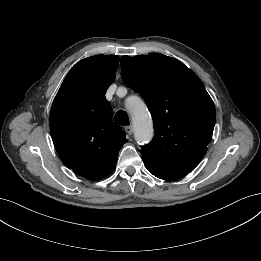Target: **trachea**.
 Listing matches in <instances>:
<instances>
[{"label": "trachea", "instance_id": "3493384b", "mask_svg": "<svg viewBox=\"0 0 261 261\" xmlns=\"http://www.w3.org/2000/svg\"><path fill=\"white\" fill-rule=\"evenodd\" d=\"M114 121L120 125L126 126L129 125V118L127 113L124 110H119L115 117H114Z\"/></svg>", "mask_w": 261, "mask_h": 261}]
</instances>
